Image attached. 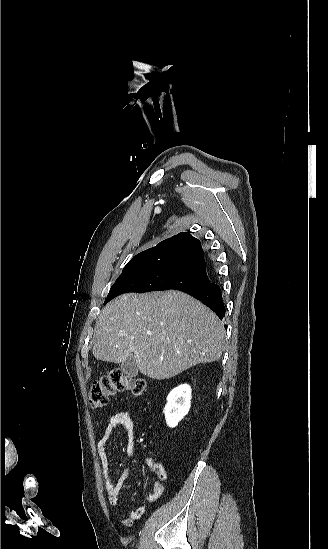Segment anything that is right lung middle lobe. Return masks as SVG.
<instances>
[{"label":"right lung middle lobe","instance_id":"1","mask_svg":"<svg viewBox=\"0 0 328 549\" xmlns=\"http://www.w3.org/2000/svg\"><path fill=\"white\" fill-rule=\"evenodd\" d=\"M208 282L206 277L179 270L153 268L126 270L111 287L105 304L126 292L144 293L170 289L183 291Z\"/></svg>","mask_w":328,"mask_h":549}]
</instances>
